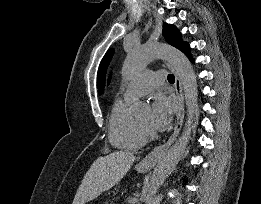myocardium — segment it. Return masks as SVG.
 <instances>
[{
    "label": "myocardium",
    "mask_w": 261,
    "mask_h": 204,
    "mask_svg": "<svg viewBox=\"0 0 261 204\" xmlns=\"http://www.w3.org/2000/svg\"><path fill=\"white\" fill-rule=\"evenodd\" d=\"M137 124H138L141 132L145 136V138H155L156 137V133L151 128L145 126L139 120H137Z\"/></svg>",
    "instance_id": "1"
}]
</instances>
